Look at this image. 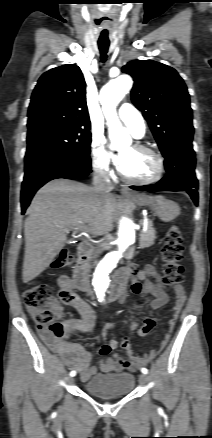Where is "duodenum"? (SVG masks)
I'll return each mask as SVG.
<instances>
[{"instance_id": "410a0bca", "label": "duodenum", "mask_w": 212, "mask_h": 438, "mask_svg": "<svg viewBox=\"0 0 212 438\" xmlns=\"http://www.w3.org/2000/svg\"><path fill=\"white\" fill-rule=\"evenodd\" d=\"M91 253V244L82 242L78 247V260L74 268V284L75 287L85 293L90 291L88 285V264ZM124 287V282L118 274L113 278L111 287L108 293L109 300H117L121 297Z\"/></svg>"}]
</instances>
